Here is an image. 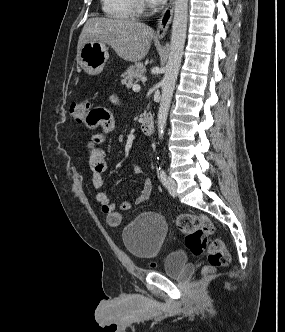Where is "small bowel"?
Masks as SVG:
<instances>
[{"instance_id": "c3829d8e", "label": "small bowel", "mask_w": 285, "mask_h": 332, "mask_svg": "<svg viewBox=\"0 0 285 332\" xmlns=\"http://www.w3.org/2000/svg\"><path fill=\"white\" fill-rule=\"evenodd\" d=\"M80 122H83V126H89L90 133H94L89 146V161L92 170L91 182L95 190L96 200L101 206L102 213L106 216L107 223L111 227H118L122 223V211H128L148 200L152 183L150 180H146L140 195L135 200H125L119 204L112 203L103 190L104 173L107 169L103 143L106 134L114 129V118L108 111V106H91V111H86L85 115H80ZM141 171V165L134 167L135 174H139Z\"/></svg>"}]
</instances>
